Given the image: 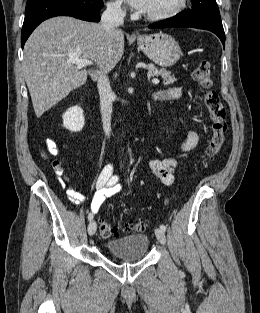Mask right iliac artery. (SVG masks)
I'll return each instance as SVG.
<instances>
[{
  "instance_id": "obj_1",
  "label": "right iliac artery",
  "mask_w": 260,
  "mask_h": 313,
  "mask_svg": "<svg viewBox=\"0 0 260 313\" xmlns=\"http://www.w3.org/2000/svg\"><path fill=\"white\" fill-rule=\"evenodd\" d=\"M93 219V215L90 213L89 215H88V220H92Z\"/></svg>"
}]
</instances>
